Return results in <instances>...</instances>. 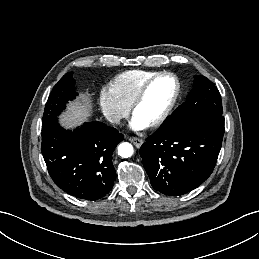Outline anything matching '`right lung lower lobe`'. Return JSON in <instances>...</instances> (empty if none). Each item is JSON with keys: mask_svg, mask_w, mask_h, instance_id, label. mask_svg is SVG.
Returning a JSON list of instances; mask_svg holds the SVG:
<instances>
[{"mask_svg": "<svg viewBox=\"0 0 259 259\" xmlns=\"http://www.w3.org/2000/svg\"><path fill=\"white\" fill-rule=\"evenodd\" d=\"M123 135L101 122H89L73 132L57 119L42 131L41 151L54 183L66 193L97 200L113 187L112 155Z\"/></svg>", "mask_w": 259, "mask_h": 259, "instance_id": "1", "label": "right lung lower lobe"}]
</instances>
